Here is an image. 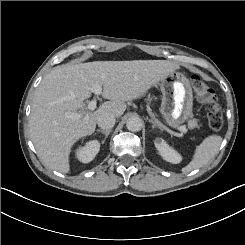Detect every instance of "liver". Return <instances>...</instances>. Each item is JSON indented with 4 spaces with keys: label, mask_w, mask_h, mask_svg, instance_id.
<instances>
[{
    "label": "liver",
    "mask_w": 245,
    "mask_h": 245,
    "mask_svg": "<svg viewBox=\"0 0 245 245\" xmlns=\"http://www.w3.org/2000/svg\"><path fill=\"white\" fill-rule=\"evenodd\" d=\"M177 68L166 60L94 61L55 67L36 89L29 119L32 142L44 166L67 173L72 145L95 131L100 114L120 117L126 101L143 96ZM96 84L103 86L102 96L110 101L90 112L83 101ZM66 112L81 117L71 119Z\"/></svg>",
    "instance_id": "obj_1"
}]
</instances>
